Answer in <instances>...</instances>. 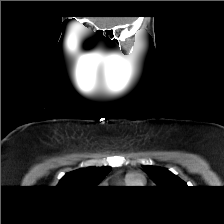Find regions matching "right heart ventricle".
I'll return each instance as SVG.
<instances>
[{
  "label": "right heart ventricle",
  "instance_id": "obj_1",
  "mask_svg": "<svg viewBox=\"0 0 224 224\" xmlns=\"http://www.w3.org/2000/svg\"><path fill=\"white\" fill-rule=\"evenodd\" d=\"M125 183H126L127 185H130V186H135V185H138L139 181H138V180H135V179H131V178L128 177V178L125 180Z\"/></svg>",
  "mask_w": 224,
  "mask_h": 224
}]
</instances>
